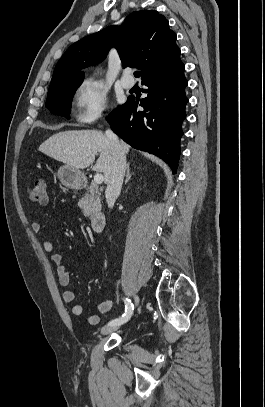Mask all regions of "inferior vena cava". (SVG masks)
I'll return each instance as SVG.
<instances>
[{"instance_id":"602c4592","label":"inferior vena cava","mask_w":265,"mask_h":407,"mask_svg":"<svg viewBox=\"0 0 265 407\" xmlns=\"http://www.w3.org/2000/svg\"><path fill=\"white\" fill-rule=\"evenodd\" d=\"M105 135L112 151V169L106 182L105 197L108 207L112 208L121 192L126 169V157L115 133L111 130H106Z\"/></svg>"}]
</instances>
